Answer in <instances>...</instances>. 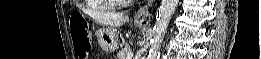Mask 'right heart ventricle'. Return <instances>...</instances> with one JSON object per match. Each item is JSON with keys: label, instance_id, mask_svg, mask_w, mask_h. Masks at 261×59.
Here are the masks:
<instances>
[{"label": "right heart ventricle", "instance_id": "e07e8e85", "mask_svg": "<svg viewBox=\"0 0 261 59\" xmlns=\"http://www.w3.org/2000/svg\"><path fill=\"white\" fill-rule=\"evenodd\" d=\"M97 2H99V4H103V5H105V6H107V7H110V8L113 7V5L109 3V1H102V0H101V1H97ZM104 2H105V3H104Z\"/></svg>", "mask_w": 261, "mask_h": 59}]
</instances>
